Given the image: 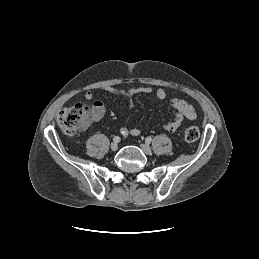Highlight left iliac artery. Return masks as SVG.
<instances>
[{
  "mask_svg": "<svg viewBox=\"0 0 259 259\" xmlns=\"http://www.w3.org/2000/svg\"><path fill=\"white\" fill-rule=\"evenodd\" d=\"M145 141H146V143H151L152 138L151 137H147Z\"/></svg>",
  "mask_w": 259,
  "mask_h": 259,
  "instance_id": "1",
  "label": "left iliac artery"
}]
</instances>
